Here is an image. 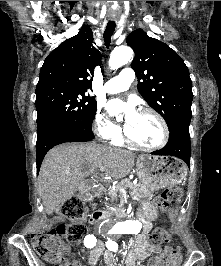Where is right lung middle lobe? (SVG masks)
I'll return each mask as SVG.
<instances>
[{"label":"right lung middle lobe","instance_id":"right-lung-middle-lobe-1","mask_svg":"<svg viewBox=\"0 0 221 266\" xmlns=\"http://www.w3.org/2000/svg\"><path fill=\"white\" fill-rule=\"evenodd\" d=\"M37 139L61 126L92 130L97 104L85 91L67 88L36 89Z\"/></svg>","mask_w":221,"mask_h":266}]
</instances>
